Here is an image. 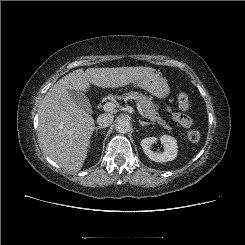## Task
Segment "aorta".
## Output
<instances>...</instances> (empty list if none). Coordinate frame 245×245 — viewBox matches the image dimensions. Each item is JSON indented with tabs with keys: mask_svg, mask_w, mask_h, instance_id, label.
Returning <instances> with one entry per match:
<instances>
[{
	"mask_svg": "<svg viewBox=\"0 0 245 245\" xmlns=\"http://www.w3.org/2000/svg\"><path fill=\"white\" fill-rule=\"evenodd\" d=\"M115 129L119 133H127L131 130V123L125 118L118 119L115 125Z\"/></svg>",
	"mask_w": 245,
	"mask_h": 245,
	"instance_id": "762f6f07",
	"label": "aorta"
}]
</instances>
